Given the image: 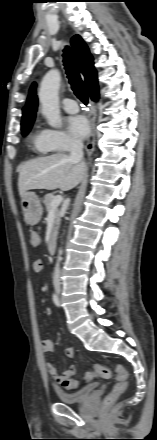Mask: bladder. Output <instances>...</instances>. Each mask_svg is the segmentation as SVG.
Instances as JSON below:
<instances>
[{"instance_id":"1","label":"bladder","mask_w":157,"mask_h":440,"mask_svg":"<svg viewBox=\"0 0 157 440\" xmlns=\"http://www.w3.org/2000/svg\"><path fill=\"white\" fill-rule=\"evenodd\" d=\"M96 390L95 384H89L82 389L75 392H67L64 390L57 389L55 394L59 401L65 404H78L84 402L89 398Z\"/></svg>"}]
</instances>
